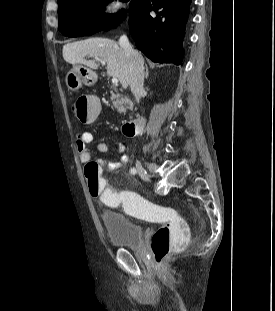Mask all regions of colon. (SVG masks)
I'll list each match as a JSON object with an SVG mask.
<instances>
[{"label":"colon","mask_w":275,"mask_h":311,"mask_svg":"<svg viewBox=\"0 0 275 311\" xmlns=\"http://www.w3.org/2000/svg\"><path fill=\"white\" fill-rule=\"evenodd\" d=\"M72 107L82 125H95L96 117L101 113L99 97H78ZM85 175L92 197L113 205L120 204L130 214L164 222L151 238V250L158 267L163 265L171 252L186 245L187 224L175 209L155 206L137 196L136 190H120L119 195H116L115 190L108 187L106 193L108 180L100 175L99 166L95 162L85 166Z\"/></svg>","instance_id":"obj_1"}]
</instances>
